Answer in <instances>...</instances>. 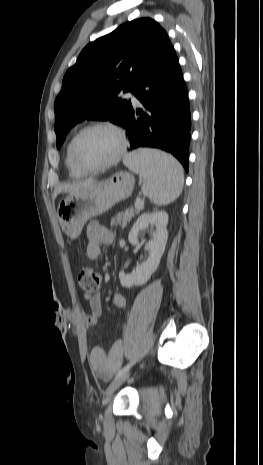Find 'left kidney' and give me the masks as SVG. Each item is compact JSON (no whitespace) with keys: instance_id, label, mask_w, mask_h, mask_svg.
Returning a JSON list of instances; mask_svg holds the SVG:
<instances>
[{"instance_id":"obj_1","label":"left kidney","mask_w":263,"mask_h":465,"mask_svg":"<svg viewBox=\"0 0 263 465\" xmlns=\"http://www.w3.org/2000/svg\"><path fill=\"white\" fill-rule=\"evenodd\" d=\"M168 224V215L164 211L142 214L134 223L128 240L131 244L138 243L139 233L147 229L150 225L155 226L151 240H149L145 249L148 251V257L141 263H137L131 274L119 273L121 285L130 288L133 285H142L146 283L151 275L156 271L160 259L165 251L168 238L166 226Z\"/></svg>"}]
</instances>
